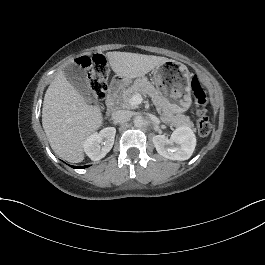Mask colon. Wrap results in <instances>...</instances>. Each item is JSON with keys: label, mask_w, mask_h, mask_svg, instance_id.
<instances>
[{"label": "colon", "mask_w": 265, "mask_h": 265, "mask_svg": "<svg viewBox=\"0 0 265 265\" xmlns=\"http://www.w3.org/2000/svg\"><path fill=\"white\" fill-rule=\"evenodd\" d=\"M77 64L90 71L89 88L95 102L102 101L107 92L108 66L104 54L98 53L91 57L83 56L77 61ZM191 88L197 105V127L201 136H206L211 132L212 125L206 114L207 95L200 79L194 76L191 79Z\"/></svg>", "instance_id": "5ec220e1"}]
</instances>
